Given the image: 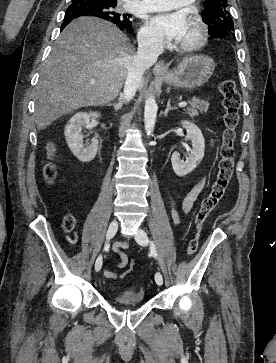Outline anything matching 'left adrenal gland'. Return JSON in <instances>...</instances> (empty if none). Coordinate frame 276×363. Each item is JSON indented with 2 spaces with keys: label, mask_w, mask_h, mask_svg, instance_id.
I'll return each instance as SVG.
<instances>
[{
  "label": "left adrenal gland",
  "mask_w": 276,
  "mask_h": 363,
  "mask_svg": "<svg viewBox=\"0 0 276 363\" xmlns=\"http://www.w3.org/2000/svg\"><path fill=\"white\" fill-rule=\"evenodd\" d=\"M175 109H176V107H171L170 100H169L168 103H167V107H166V109L164 111V116L167 117L169 111H172V110H175Z\"/></svg>",
  "instance_id": "a2214340"
}]
</instances>
